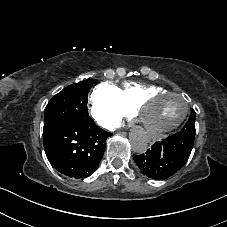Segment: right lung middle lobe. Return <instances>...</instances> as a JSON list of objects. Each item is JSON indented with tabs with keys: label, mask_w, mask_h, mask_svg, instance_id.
<instances>
[{
	"label": "right lung middle lobe",
	"mask_w": 227,
	"mask_h": 227,
	"mask_svg": "<svg viewBox=\"0 0 227 227\" xmlns=\"http://www.w3.org/2000/svg\"><path fill=\"white\" fill-rule=\"evenodd\" d=\"M92 85L93 81L69 85L49 101L45 108L43 135L69 122L92 121L87 108Z\"/></svg>",
	"instance_id": "right-lung-middle-lobe-1"
}]
</instances>
